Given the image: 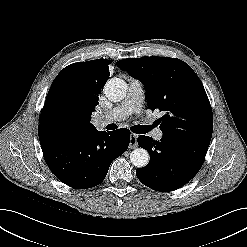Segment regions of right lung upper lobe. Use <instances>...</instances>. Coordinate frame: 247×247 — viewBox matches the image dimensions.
Here are the masks:
<instances>
[{"label": "right lung upper lobe", "mask_w": 247, "mask_h": 247, "mask_svg": "<svg viewBox=\"0 0 247 247\" xmlns=\"http://www.w3.org/2000/svg\"><path fill=\"white\" fill-rule=\"evenodd\" d=\"M109 60L73 63L64 68L53 81L44 108L51 100L60 80L68 76L75 102V117L66 133L88 134L98 130L90 123L91 114L98 104V96L109 78ZM43 108V109H44Z\"/></svg>", "instance_id": "1"}]
</instances>
